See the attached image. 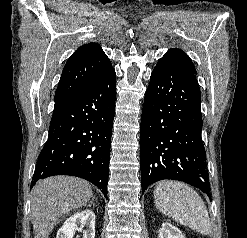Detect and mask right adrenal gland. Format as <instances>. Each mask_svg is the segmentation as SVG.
I'll return each instance as SVG.
<instances>
[{"mask_svg":"<svg viewBox=\"0 0 247 238\" xmlns=\"http://www.w3.org/2000/svg\"><path fill=\"white\" fill-rule=\"evenodd\" d=\"M93 200H94V197H93V199H92V201H91V204L89 205L90 207L93 205V204H92Z\"/></svg>","mask_w":247,"mask_h":238,"instance_id":"right-adrenal-gland-1","label":"right adrenal gland"}]
</instances>
